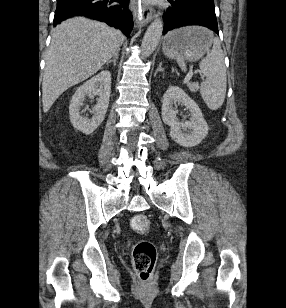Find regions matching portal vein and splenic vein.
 Masks as SVG:
<instances>
[{"instance_id": "18ae733b", "label": "portal vein and splenic vein", "mask_w": 286, "mask_h": 308, "mask_svg": "<svg viewBox=\"0 0 286 308\" xmlns=\"http://www.w3.org/2000/svg\"><path fill=\"white\" fill-rule=\"evenodd\" d=\"M192 76H193V71L191 70L189 73H188V75L185 77V79H184V84H188V85H191V78H192ZM195 85V84H194Z\"/></svg>"}]
</instances>
